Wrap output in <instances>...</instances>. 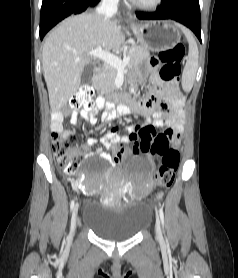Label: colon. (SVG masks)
<instances>
[{
	"label": "colon",
	"instance_id": "5ec220e1",
	"mask_svg": "<svg viewBox=\"0 0 238 278\" xmlns=\"http://www.w3.org/2000/svg\"><path fill=\"white\" fill-rule=\"evenodd\" d=\"M184 54L185 47L183 44H177L173 48L159 53L160 76L172 91L176 89L180 64ZM93 94L94 91L91 86H83L71 98L70 105L76 109L84 108L93 111L95 109ZM52 148L57 166L65 173H76L81 162V150L77 136L70 131H54ZM133 151L135 153L161 154L159 156L161 161L155 171V176L161 187H169L173 183L180 163V154L176 149L171 148V144H157L153 142V137H144L139 144H136ZM128 154L127 148L122 145L113 148V160L117 163L123 161ZM160 197L161 195H159Z\"/></svg>",
	"mask_w": 238,
	"mask_h": 278
}]
</instances>
